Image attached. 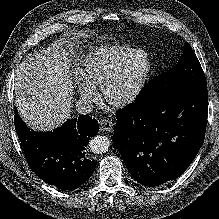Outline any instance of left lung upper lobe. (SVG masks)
<instances>
[{"instance_id": "obj_1", "label": "left lung upper lobe", "mask_w": 219, "mask_h": 219, "mask_svg": "<svg viewBox=\"0 0 219 219\" xmlns=\"http://www.w3.org/2000/svg\"><path fill=\"white\" fill-rule=\"evenodd\" d=\"M207 87L202 67L186 43L177 65L149 82L135 102L152 104L179 91Z\"/></svg>"}]
</instances>
